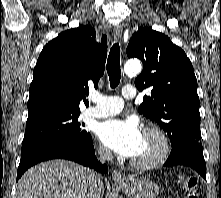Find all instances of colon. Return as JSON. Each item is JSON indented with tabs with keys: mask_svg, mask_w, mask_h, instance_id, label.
Returning a JSON list of instances; mask_svg holds the SVG:
<instances>
[{
	"mask_svg": "<svg viewBox=\"0 0 221 198\" xmlns=\"http://www.w3.org/2000/svg\"><path fill=\"white\" fill-rule=\"evenodd\" d=\"M197 179L195 177H187L182 183L183 191L186 198H197Z\"/></svg>",
	"mask_w": 221,
	"mask_h": 198,
	"instance_id": "obj_1",
	"label": "colon"
}]
</instances>
